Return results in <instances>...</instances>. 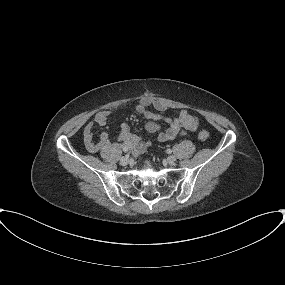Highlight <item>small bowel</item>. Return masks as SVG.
I'll list each match as a JSON object with an SVG mask.
<instances>
[{"label": "small bowel", "mask_w": 285, "mask_h": 285, "mask_svg": "<svg viewBox=\"0 0 285 285\" xmlns=\"http://www.w3.org/2000/svg\"><path fill=\"white\" fill-rule=\"evenodd\" d=\"M153 107L159 112L168 110L167 103L161 100L153 99L151 97H143L136 106V111L142 115L148 122L145 129L148 133H158L157 139L159 142H166L184 135L187 132L195 131L198 127L197 117L189 114L186 110L180 109L177 111L175 117H163L162 115L149 110ZM112 112L109 110L99 111L84 128L83 136L85 147L90 152H97L101 149L109 148L112 145L110 136L107 132H102L98 141L94 140V127H104ZM160 121H165L168 125L167 129L162 131ZM151 142L131 133L128 124L123 123L119 127L118 132V146L131 150L134 154L143 153Z\"/></svg>", "instance_id": "c3829d8e"}]
</instances>
